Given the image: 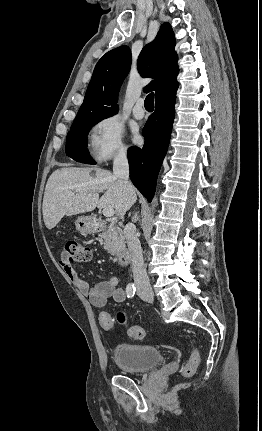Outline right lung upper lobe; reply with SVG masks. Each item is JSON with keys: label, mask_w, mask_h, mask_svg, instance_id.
Returning a JSON list of instances; mask_svg holds the SVG:
<instances>
[{"label": "right lung upper lobe", "mask_w": 262, "mask_h": 431, "mask_svg": "<svg viewBox=\"0 0 262 431\" xmlns=\"http://www.w3.org/2000/svg\"><path fill=\"white\" fill-rule=\"evenodd\" d=\"M175 36L169 23L161 25L156 38L147 44L138 58L142 77H153L145 88L155 91L156 100L178 88ZM131 67V50L120 46L107 52L96 64L83 104L75 119L107 118L118 111L119 88Z\"/></svg>", "instance_id": "right-lung-upper-lobe-1"}]
</instances>
